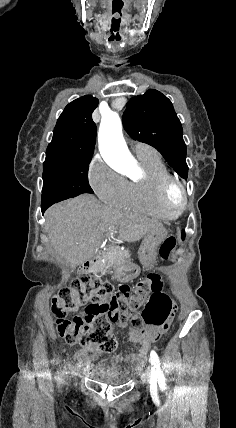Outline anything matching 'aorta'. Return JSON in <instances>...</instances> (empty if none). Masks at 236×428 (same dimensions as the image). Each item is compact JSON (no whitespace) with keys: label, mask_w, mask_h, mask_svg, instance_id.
Segmentation results:
<instances>
[{"label":"aorta","mask_w":236,"mask_h":428,"mask_svg":"<svg viewBox=\"0 0 236 428\" xmlns=\"http://www.w3.org/2000/svg\"><path fill=\"white\" fill-rule=\"evenodd\" d=\"M98 142L100 153L110 165L126 171L135 166L123 138L120 117L116 112L109 111L102 116Z\"/></svg>","instance_id":"762f6f07"}]
</instances>
